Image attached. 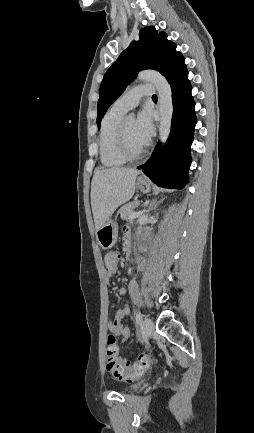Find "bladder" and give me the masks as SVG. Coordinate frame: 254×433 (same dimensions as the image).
<instances>
[{"instance_id": "bladder-1", "label": "bladder", "mask_w": 254, "mask_h": 433, "mask_svg": "<svg viewBox=\"0 0 254 433\" xmlns=\"http://www.w3.org/2000/svg\"><path fill=\"white\" fill-rule=\"evenodd\" d=\"M139 383H134L132 385H130L129 387L126 388L127 391H134L138 388Z\"/></svg>"}]
</instances>
